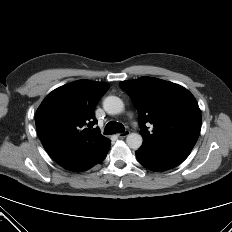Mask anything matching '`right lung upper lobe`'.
Wrapping results in <instances>:
<instances>
[{"mask_svg":"<svg viewBox=\"0 0 232 232\" xmlns=\"http://www.w3.org/2000/svg\"><path fill=\"white\" fill-rule=\"evenodd\" d=\"M109 89L105 82L78 80L50 92L39 106L35 123L47 153L60 165L99 156L110 148L101 135L94 108ZM92 128V129H91Z\"/></svg>","mask_w":232,"mask_h":232,"instance_id":"cb5924a9","label":"right lung upper lobe"}]
</instances>
